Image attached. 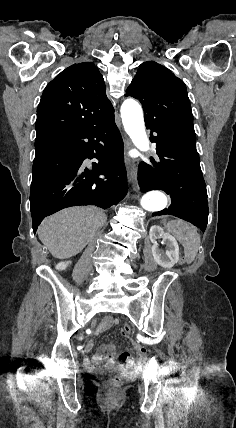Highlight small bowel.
Listing matches in <instances>:
<instances>
[{"mask_svg": "<svg viewBox=\"0 0 236 428\" xmlns=\"http://www.w3.org/2000/svg\"><path fill=\"white\" fill-rule=\"evenodd\" d=\"M118 322V319L111 316L104 318L97 327L91 330V339L86 342L84 349L87 352L91 351L93 348L92 338L106 329L117 325ZM133 346L136 351L134 357L128 353H122L116 356V350L113 344H102L98 347L97 353L91 359L87 360V366L95 370L99 368L103 362H106L108 365H115L117 363L120 368L128 370L137 369L146 359V349L140 342H133Z\"/></svg>", "mask_w": 236, "mask_h": 428, "instance_id": "small-bowel-1", "label": "small bowel"}]
</instances>
